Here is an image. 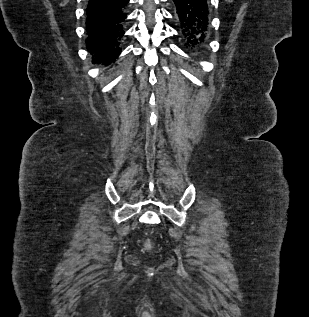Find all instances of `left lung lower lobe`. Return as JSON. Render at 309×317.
Returning a JSON list of instances; mask_svg holds the SVG:
<instances>
[{"label": "left lung lower lobe", "instance_id": "left-lung-lower-lobe-1", "mask_svg": "<svg viewBox=\"0 0 309 317\" xmlns=\"http://www.w3.org/2000/svg\"><path fill=\"white\" fill-rule=\"evenodd\" d=\"M173 2L185 45L192 51L204 49L211 29L210 0H173Z\"/></svg>", "mask_w": 309, "mask_h": 317}]
</instances>
